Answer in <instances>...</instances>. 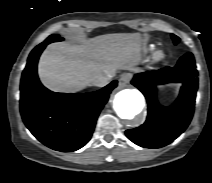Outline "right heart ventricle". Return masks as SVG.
Wrapping results in <instances>:
<instances>
[{
	"label": "right heart ventricle",
	"mask_w": 212,
	"mask_h": 183,
	"mask_svg": "<svg viewBox=\"0 0 212 183\" xmlns=\"http://www.w3.org/2000/svg\"><path fill=\"white\" fill-rule=\"evenodd\" d=\"M154 48V46H151L150 49L152 50Z\"/></svg>",
	"instance_id": "obj_1"
}]
</instances>
